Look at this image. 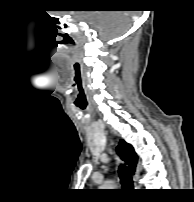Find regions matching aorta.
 <instances>
[{"label": "aorta", "instance_id": "762f6f07", "mask_svg": "<svg viewBox=\"0 0 194 202\" xmlns=\"http://www.w3.org/2000/svg\"><path fill=\"white\" fill-rule=\"evenodd\" d=\"M102 187H103V189H106V187H108V184H105Z\"/></svg>", "mask_w": 194, "mask_h": 202}]
</instances>
